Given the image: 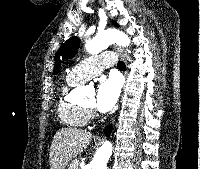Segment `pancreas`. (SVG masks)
I'll return each instance as SVG.
<instances>
[{"label":"pancreas","instance_id":"obj_1","mask_svg":"<svg viewBox=\"0 0 200 169\" xmlns=\"http://www.w3.org/2000/svg\"><path fill=\"white\" fill-rule=\"evenodd\" d=\"M80 162L78 159H75L71 162L70 166L68 169H79Z\"/></svg>","mask_w":200,"mask_h":169}]
</instances>
